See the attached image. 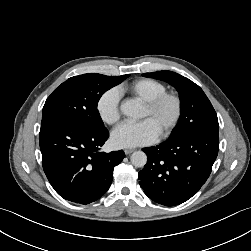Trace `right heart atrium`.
Returning a JSON list of instances; mask_svg holds the SVG:
<instances>
[{
    "instance_id": "obj_1",
    "label": "right heart atrium",
    "mask_w": 251,
    "mask_h": 251,
    "mask_svg": "<svg viewBox=\"0 0 251 251\" xmlns=\"http://www.w3.org/2000/svg\"><path fill=\"white\" fill-rule=\"evenodd\" d=\"M120 92L111 88L103 92L98 98L96 108L100 119L108 124L114 125L120 119Z\"/></svg>"
}]
</instances>
